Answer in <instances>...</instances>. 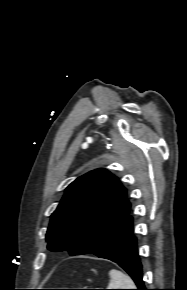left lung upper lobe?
I'll list each match as a JSON object with an SVG mask.
<instances>
[{
	"mask_svg": "<svg viewBox=\"0 0 187 290\" xmlns=\"http://www.w3.org/2000/svg\"><path fill=\"white\" fill-rule=\"evenodd\" d=\"M126 189L106 169L77 178L51 215L48 249L71 255L90 254L100 247L130 211Z\"/></svg>",
	"mask_w": 187,
	"mask_h": 290,
	"instance_id": "obj_1",
	"label": "left lung upper lobe"
}]
</instances>
